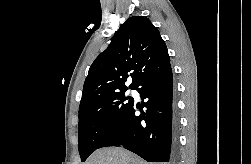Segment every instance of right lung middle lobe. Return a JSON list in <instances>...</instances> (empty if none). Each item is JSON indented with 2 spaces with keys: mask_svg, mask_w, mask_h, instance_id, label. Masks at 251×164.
Returning a JSON list of instances; mask_svg holds the SVG:
<instances>
[{
  "mask_svg": "<svg viewBox=\"0 0 251 164\" xmlns=\"http://www.w3.org/2000/svg\"><path fill=\"white\" fill-rule=\"evenodd\" d=\"M125 91L99 97L79 109L78 148L82 162L99 148L134 104L132 99L125 97Z\"/></svg>",
  "mask_w": 251,
  "mask_h": 164,
  "instance_id": "dd1d6c3e",
  "label": "right lung middle lobe"
}]
</instances>
